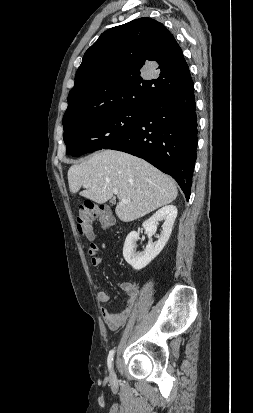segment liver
I'll list each match as a JSON object with an SVG mask.
<instances>
[{"label":"liver","mask_w":253,"mask_h":413,"mask_svg":"<svg viewBox=\"0 0 253 413\" xmlns=\"http://www.w3.org/2000/svg\"><path fill=\"white\" fill-rule=\"evenodd\" d=\"M70 191L96 203H105L118 189L115 212L131 222L171 203L178 191L172 178L145 160L125 152L102 150L68 170ZM127 199L130 202H123Z\"/></svg>","instance_id":"1"}]
</instances>
